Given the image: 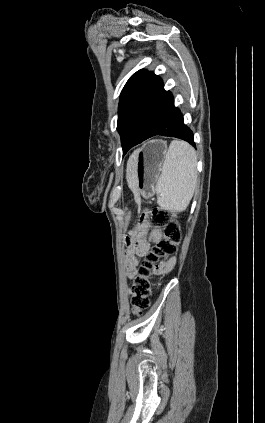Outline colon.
Listing matches in <instances>:
<instances>
[{
    "mask_svg": "<svg viewBox=\"0 0 265 423\" xmlns=\"http://www.w3.org/2000/svg\"><path fill=\"white\" fill-rule=\"evenodd\" d=\"M149 227L162 229L163 236L149 247L144 262L140 265L137 275L132 280L131 304L136 315H141L150 305L151 283L149 276L152 267L162 258L175 254L181 241L180 227L176 221L172 220L171 213L164 209L154 208L146 211L137 229L126 236L128 245L137 244Z\"/></svg>",
    "mask_w": 265,
    "mask_h": 423,
    "instance_id": "colon-1",
    "label": "colon"
}]
</instances>
